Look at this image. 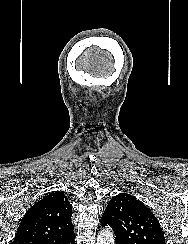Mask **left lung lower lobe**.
Here are the masks:
<instances>
[{"mask_svg":"<svg viewBox=\"0 0 188 244\" xmlns=\"http://www.w3.org/2000/svg\"><path fill=\"white\" fill-rule=\"evenodd\" d=\"M101 225H102V227H105V226H107L108 224H107L106 222H104V221H101Z\"/></svg>","mask_w":188,"mask_h":244,"instance_id":"1","label":"left lung lower lobe"}]
</instances>
